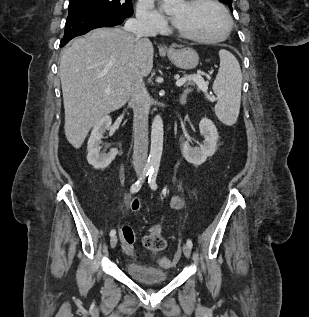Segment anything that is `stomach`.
<instances>
[{"instance_id": "stomach-1", "label": "stomach", "mask_w": 309, "mask_h": 317, "mask_svg": "<svg viewBox=\"0 0 309 317\" xmlns=\"http://www.w3.org/2000/svg\"><path fill=\"white\" fill-rule=\"evenodd\" d=\"M170 61L178 68L190 70L195 68L199 63L198 53L189 47L170 48L167 50Z\"/></svg>"}]
</instances>
